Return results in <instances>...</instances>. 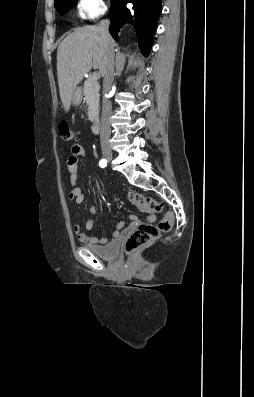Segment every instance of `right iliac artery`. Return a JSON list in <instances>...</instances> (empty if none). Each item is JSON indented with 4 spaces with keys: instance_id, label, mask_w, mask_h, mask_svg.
Masks as SVG:
<instances>
[{
    "instance_id": "obj_1",
    "label": "right iliac artery",
    "mask_w": 254,
    "mask_h": 397,
    "mask_svg": "<svg viewBox=\"0 0 254 397\" xmlns=\"http://www.w3.org/2000/svg\"><path fill=\"white\" fill-rule=\"evenodd\" d=\"M100 167L104 168L107 166V161L106 159H101L99 162Z\"/></svg>"
}]
</instances>
